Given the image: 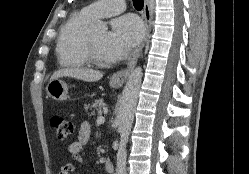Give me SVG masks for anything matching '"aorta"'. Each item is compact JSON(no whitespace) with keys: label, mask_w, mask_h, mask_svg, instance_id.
Instances as JSON below:
<instances>
[{"label":"aorta","mask_w":249,"mask_h":174,"mask_svg":"<svg viewBox=\"0 0 249 174\" xmlns=\"http://www.w3.org/2000/svg\"><path fill=\"white\" fill-rule=\"evenodd\" d=\"M94 29L104 30L106 29V24L102 21H97L94 24ZM142 76V68L136 67L129 75V78L122 92V98L118 112V132L120 134V143L117 153L116 174H125L127 157L126 144L128 142L129 134L134 120V112L141 87Z\"/></svg>","instance_id":"762f6f07"}]
</instances>
